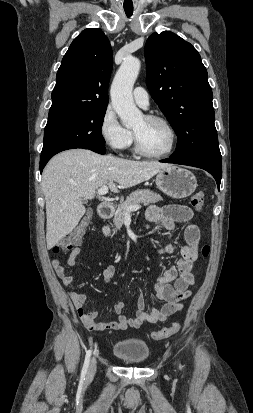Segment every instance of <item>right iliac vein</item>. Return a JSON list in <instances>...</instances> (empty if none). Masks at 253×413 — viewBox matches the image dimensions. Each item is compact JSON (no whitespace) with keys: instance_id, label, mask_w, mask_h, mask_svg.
Here are the masks:
<instances>
[{"instance_id":"obj_1","label":"right iliac vein","mask_w":253,"mask_h":413,"mask_svg":"<svg viewBox=\"0 0 253 413\" xmlns=\"http://www.w3.org/2000/svg\"><path fill=\"white\" fill-rule=\"evenodd\" d=\"M96 369H97V361H96V358L93 357L90 363L88 374H87L88 379H92L94 377Z\"/></svg>"}]
</instances>
